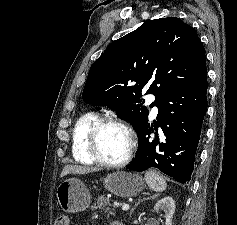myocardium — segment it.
I'll use <instances>...</instances> for the list:
<instances>
[{
    "label": "myocardium",
    "mask_w": 237,
    "mask_h": 225,
    "mask_svg": "<svg viewBox=\"0 0 237 225\" xmlns=\"http://www.w3.org/2000/svg\"><path fill=\"white\" fill-rule=\"evenodd\" d=\"M107 125H114V126H118L122 128L126 132L129 138V148H128L127 154L120 161L112 162V161L106 160L100 154V150L98 146V135H99L100 130ZM136 147H137V138L132 127L126 122L114 117L98 118L92 124L87 134V150L90 156L96 162L106 167L120 168V167L126 166L131 161L135 153Z\"/></svg>",
    "instance_id": "1"
}]
</instances>
